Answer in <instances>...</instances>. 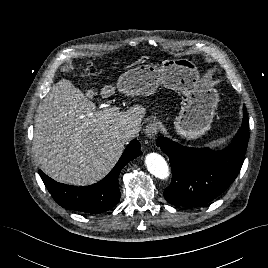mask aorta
Here are the masks:
<instances>
[{
  "instance_id": "762f6f07",
  "label": "aorta",
  "mask_w": 268,
  "mask_h": 268,
  "mask_svg": "<svg viewBox=\"0 0 268 268\" xmlns=\"http://www.w3.org/2000/svg\"><path fill=\"white\" fill-rule=\"evenodd\" d=\"M145 164L148 171L159 179H167L169 167L165 159L157 153H149L145 157Z\"/></svg>"
}]
</instances>
